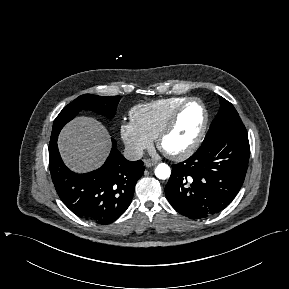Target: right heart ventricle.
<instances>
[{"label":"right heart ventricle","instance_id":"obj_1","mask_svg":"<svg viewBox=\"0 0 289 289\" xmlns=\"http://www.w3.org/2000/svg\"><path fill=\"white\" fill-rule=\"evenodd\" d=\"M187 97H169L135 106L130 111L131 120L148 136L156 139L175 109Z\"/></svg>","mask_w":289,"mask_h":289}]
</instances>
